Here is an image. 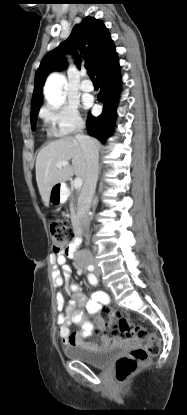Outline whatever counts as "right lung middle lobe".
Here are the masks:
<instances>
[{"label":"right lung middle lobe","mask_w":187,"mask_h":415,"mask_svg":"<svg viewBox=\"0 0 187 415\" xmlns=\"http://www.w3.org/2000/svg\"><path fill=\"white\" fill-rule=\"evenodd\" d=\"M38 111L39 109H36L35 111L31 112L30 121H31V127L33 131L35 130V127H36V118H37Z\"/></svg>","instance_id":"obj_1"}]
</instances>
